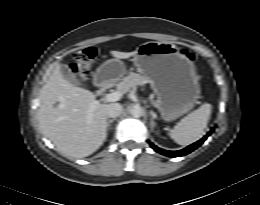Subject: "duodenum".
<instances>
[{
  "label": "duodenum",
  "mask_w": 260,
  "mask_h": 205,
  "mask_svg": "<svg viewBox=\"0 0 260 205\" xmlns=\"http://www.w3.org/2000/svg\"><path fill=\"white\" fill-rule=\"evenodd\" d=\"M95 82L100 93H104L110 87V83L100 74L95 76Z\"/></svg>",
  "instance_id": "1"
}]
</instances>
